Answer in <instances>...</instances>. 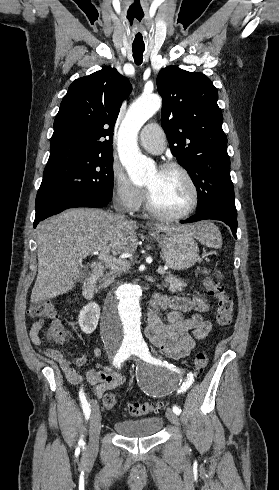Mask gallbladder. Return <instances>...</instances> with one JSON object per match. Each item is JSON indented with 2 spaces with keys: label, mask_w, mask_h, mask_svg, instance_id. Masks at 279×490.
Wrapping results in <instances>:
<instances>
[{
  "label": "gallbladder",
  "mask_w": 279,
  "mask_h": 490,
  "mask_svg": "<svg viewBox=\"0 0 279 490\" xmlns=\"http://www.w3.org/2000/svg\"><path fill=\"white\" fill-rule=\"evenodd\" d=\"M80 278H78L79 282H83L84 278H87V276H90V272L88 268H81L80 270Z\"/></svg>",
  "instance_id": "gallbladder-1"
}]
</instances>
